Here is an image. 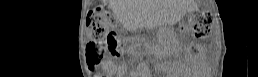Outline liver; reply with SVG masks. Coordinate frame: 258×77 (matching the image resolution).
<instances>
[{
  "label": "liver",
  "mask_w": 258,
  "mask_h": 77,
  "mask_svg": "<svg viewBox=\"0 0 258 77\" xmlns=\"http://www.w3.org/2000/svg\"><path fill=\"white\" fill-rule=\"evenodd\" d=\"M155 0H110L113 12L122 18L125 28L136 25L152 26L163 18Z\"/></svg>",
  "instance_id": "liver-1"
}]
</instances>
